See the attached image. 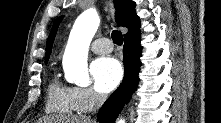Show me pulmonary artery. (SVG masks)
Segmentation results:
<instances>
[{"instance_id":"pulmonary-artery-1","label":"pulmonary artery","mask_w":221,"mask_h":123,"mask_svg":"<svg viewBox=\"0 0 221 123\" xmlns=\"http://www.w3.org/2000/svg\"><path fill=\"white\" fill-rule=\"evenodd\" d=\"M91 49L97 54H106L112 51L113 46L108 38H99L93 41Z\"/></svg>"}]
</instances>
